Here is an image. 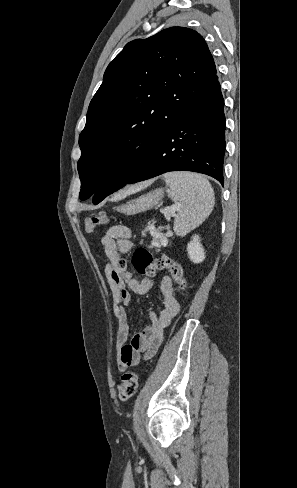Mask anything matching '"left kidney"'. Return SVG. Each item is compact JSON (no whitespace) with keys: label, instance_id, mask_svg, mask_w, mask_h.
<instances>
[{"label":"left kidney","instance_id":"left-kidney-1","mask_svg":"<svg viewBox=\"0 0 297 488\" xmlns=\"http://www.w3.org/2000/svg\"><path fill=\"white\" fill-rule=\"evenodd\" d=\"M188 257L194 263H201L205 259V252L200 242L199 235L192 236V240L187 245Z\"/></svg>","mask_w":297,"mask_h":488}]
</instances>
